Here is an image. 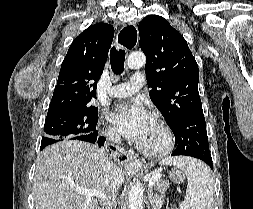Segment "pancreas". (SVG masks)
I'll return each instance as SVG.
<instances>
[{
    "instance_id": "cf45deb5",
    "label": "pancreas",
    "mask_w": 253,
    "mask_h": 209,
    "mask_svg": "<svg viewBox=\"0 0 253 209\" xmlns=\"http://www.w3.org/2000/svg\"><path fill=\"white\" fill-rule=\"evenodd\" d=\"M169 185L170 183L168 181L165 180L157 181L153 186V189L156 191V196L162 199L165 196V192L169 187Z\"/></svg>"
}]
</instances>
